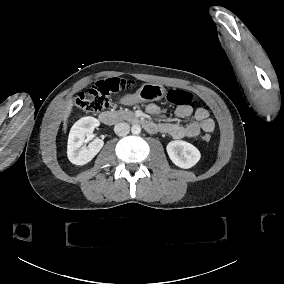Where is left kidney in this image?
<instances>
[{
	"label": "left kidney",
	"mask_w": 284,
	"mask_h": 284,
	"mask_svg": "<svg viewBox=\"0 0 284 284\" xmlns=\"http://www.w3.org/2000/svg\"><path fill=\"white\" fill-rule=\"evenodd\" d=\"M167 153L175 165L184 169L194 166L201 157L195 146L182 140L171 141L167 145Z\"/></svg>",
	"instance_id": "obj_1"
}]
</instances>
